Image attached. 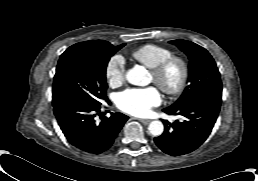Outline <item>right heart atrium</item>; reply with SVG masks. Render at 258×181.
<instances>
[{
	"mask_svg": "<svg viewBox=\"0 0 258 181\" xmlns=\"http://www.w3.org/2000/svg\"><path fill=\"white\" fill-rule=\"evenodd\" d=\"M125 60L121 55H114L106 66V77L112 85L121 84L125 79Z\"/></svg>",
	"mask_w": 258,
	"mask_h": 181,
	"instance_id": "1",
	"label": "right heart atrium"
}]
</instances>
